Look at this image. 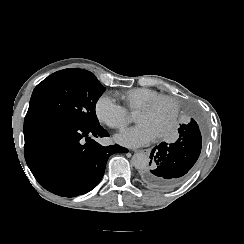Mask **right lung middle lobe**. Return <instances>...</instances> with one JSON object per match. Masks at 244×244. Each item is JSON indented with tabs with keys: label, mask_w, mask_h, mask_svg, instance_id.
I'll list each match as a JSON object with an SVG mask.
<instances>
[{
	"label": "right lung middle lobe",
	"mask_w": 244,
	"mask_h": 244,
	"mask_svg": "<svg viewBox=\"0 0 244 244\" xmlns=\"http://www.w3.org/2000/svg\"><path fill=\"white\" fill-rule=\"evenodd\" d=\"M104 90L93 73L64 69L35 87L27 115H49L82 127L96 126L95 106Z\"/></svg>",
	"instance_id": "obj_1"
}]
</instances>
